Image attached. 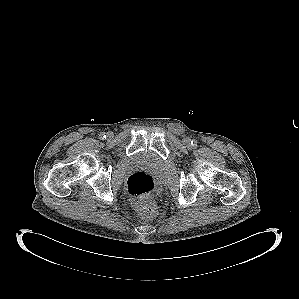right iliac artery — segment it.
<instances>
[{
	"instance_id": "right-iliac-artery-1",
	"label": "right iliac artery",
	"mask_w": 299,
	"mask_h": 299,
	"mask_svg": "<svg viewBox=\"0 0 299 299\" xmlns=\"http://www.w3.org/2000/svg\"><path fill=\"white\" fill-rule=\"evenodd\" d=\"M99 138H100V139H104V138H106V135H105L104 133H101V134L99 135Z\"/></svg>"
}]
</instances>
